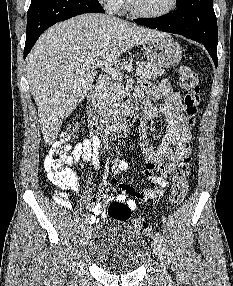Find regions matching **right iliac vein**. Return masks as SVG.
Segmentation results:
<instances>
[{"label": "right iliac vein", "mask_w": 233, "mask_h": 286, "mask_svg": "<svg viewBox=\"0 0 233 286\" xmlns=\"http://www.w3.org/2000/svg\"><path fill=\"white\" fill-rule=\"evenodd\" d=\"M90 236H91V231L89 228L83 230L81 235V244L83 247H85L88 244Z\"/></svg>", "instance_id": "63e3f726"}]
</instances>
